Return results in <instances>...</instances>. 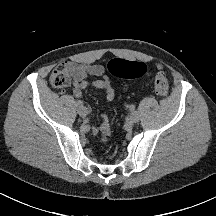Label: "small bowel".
<instances>
[{"mask_svg":"<svg viewBox=\"0 0 216 216\" xmlns=\"http://www.w3.org/2000/svg\"><path fill=\"white\" fill-rule=\"evenodd\" d=\"M65 64L69 68L73 85L72 93L75 98H82L83 90L88 86H93L104 92L105 100L107 102L113 101L115 90L105 75V69L102 65L78 64L73 62H67ZM155 66L158 70L163 69V66L160 63H156ZM90 77H97L98 79L90 81Z\"/></svg>","mask_w":216,"mask_h":216,"instance_id":"1","label":"small bowel"}]
</instances>
